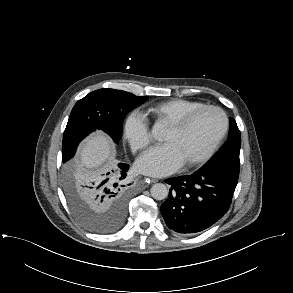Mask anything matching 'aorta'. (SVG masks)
Instances as JSON below:
<instances>
[{"instance_id": "762f6f07", "label": "aorta", "mask_w": 293, "mask_h": 293, "mask_svg": "<svg viewBox=\"0 0 293 293\" xmlns=\"http://www.w3.org/2000/svg\"><path fill=\"white\" fill-rule=\"evenodd\" d=\"M159 132H160V125H159V123H156V124H154V126L152 128V133L154 136L157 137ZM150 193H151V196L155 200H163V199L167 198V196H168V189L165 184L156 183L151 187Z\"/></svg>"}]
</instances>
